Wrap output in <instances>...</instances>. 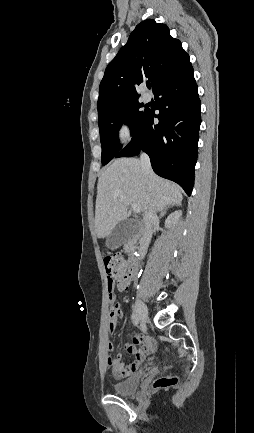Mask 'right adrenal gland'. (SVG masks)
<instances>
[{
    "label": "right adrenal gland",
    "mask_w": 254,
    "mask_h": 433,
    "mask_svg": "<svg viewBox=\"0 0 254 433\" xmlns=\"http://www.w3.org/2000/svg\"><path fill=\"white\" fill-rule=\"evenodd\" d=\"M169 207H170V206H167V207H165V208H163V209L161 210L160 217L164 216V214L166 213V210H167Z\"/></svg>",
    "instance_id": "1"
}]
</instances>
